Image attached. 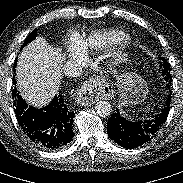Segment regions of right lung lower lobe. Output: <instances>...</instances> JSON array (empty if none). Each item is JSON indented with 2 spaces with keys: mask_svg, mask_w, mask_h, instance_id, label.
Here are the masks:
<instances>
[{
  "mask_svg": "<svg viewBox=\"0 0 183 183\" xmlns=\"http://www.w3.org/2000/svg\"><path fill=\"white\" fill-rule=\"evenodd\" d=\"M16 84V81L13 82ZM13 106L17 121L28 139L37 146L47 149H62L69 145L74 136V112L59 94L42 109L28 107V104L13 89Z\"/></svg>",
  "mask_w": 183,
  "mask_h": 183,
  "instance_id": "1",
  "label": "right lung lower lobe"
}]
</instances>
